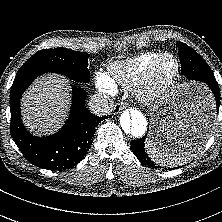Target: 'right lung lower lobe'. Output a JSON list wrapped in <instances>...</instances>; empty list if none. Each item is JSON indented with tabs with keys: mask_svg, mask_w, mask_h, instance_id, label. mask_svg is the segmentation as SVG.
<instances>
[{
	"mask_svg": "<svg viewBox=\"0 0 222 222\" xmlns=\"http://www.w3.org/2000/svg\"><path fill=\"white\" fill-rule=\"evenodd\" d=\"M42 71L18 72L10 91L12 138L30 163L49 170H62L78 164L93 141L95 127L105 117L92 114L85 106L86 92L73 87L71 111L65 125L54 135L36 137L24 127L20 99L26 88Z\"/></svg>",
	"mask_w": 222,
	"mask_h": 222,
	"instance_id": "right-lung-lower-lobe-1",
	"label": "right lung lower lobe"
}]
</instances>
